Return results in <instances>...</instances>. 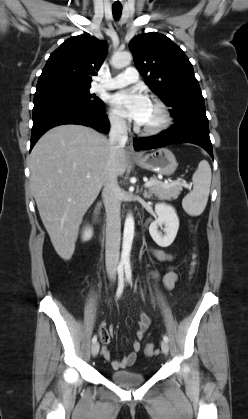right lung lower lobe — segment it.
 Segmentation results:
<instances>
[{
    "instance_id": "1",
    "label": "right lung lower lobe",
    "mask_w": 248,
    "mask_h": 419,
    "mask_svg": "<svg viewBox=\"0 0 248 419\" xmlns=\"http://www.w3.org/2000/svg\"><path fill=\"white\" fill-rule=\"evenodd\" d=\"M62 124H79L98 131H108L109 122L105 108L98 110L85 104L55 100L34 104L31 147L50 128Z\"/></svg>"
}]
</instances>
